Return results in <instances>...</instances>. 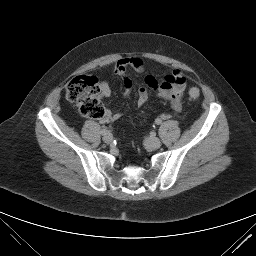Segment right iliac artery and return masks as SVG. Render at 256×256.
Wrapping results in <instances>:
<instances>
[{"instance_id":"1","label":"right iliac artery","mask_w":256,"mask_h":256,"mask_svg":"<svg viewBox=\"0 0 256 256\" xmlns=\"http://www.w3.org/2000/svg\"><path fill=\"white\" fill-rule=\"evenodd\" d=\"M108 132H109V131H108L107 128H104V129L101 130V134H102V135H105V134H107Z\"/></svg>"}]
</instances>
